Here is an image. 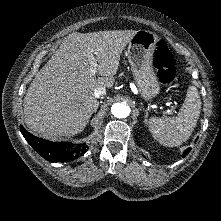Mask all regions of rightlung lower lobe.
I'll use <instances>...</instances> for the list:
<instances>
[{
    "instance_id": "right-lung-lower-lobe-1",
    "label": "right lung lower lobe",
    "mask_w": 221,
    "mask_h": 221,
    "mask_svg": "<svg viewBox=\"0 0 221 221\" xmlns=\"http://www.w3.org/2000/svg\"><path fill=\"white\" fill-rule=\"evenodd\" d=\"M20 130L26 141L32 148L38 152L43 158L50 162H70L84 155L87 151V146L81 144L78 149L70 150L72 143L68 142H51L30 134L23 126Z\"/></svg>"
}]
</instances>
